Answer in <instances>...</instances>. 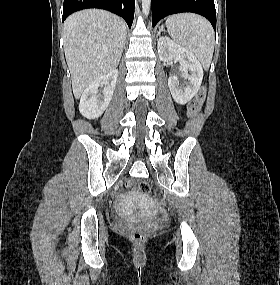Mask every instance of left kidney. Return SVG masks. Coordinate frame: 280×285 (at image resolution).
<instances>
[{
	"mask_svg": "<svg viewBox=\"0 0 280 285\" xmlns=\"http://www.w3.org/2000/svg\"><path fill=\"white\" fill-rule=\"evenodd\" d=\"M159 58L164 62L173 59L181 65V75L187 80L186 87L179 86L177 76H170L168 86L174 101L180 105L189 102L199 91L203 69L198 59L187 49L181 47L168 37H160L158 40ZM188 72H190L188 74Z\"/></svg>",
	"mask_w": 280,
	"mask_h": 285,
	"instance_id": "left-kidney-1",
	"label": "left kidney"
}]
</instances>
